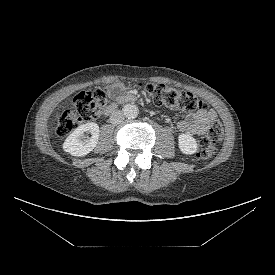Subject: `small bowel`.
<instances>
[{
  "mask_svg": "<svg viewBox=\"0 0 275 275\" xmlns=\"http://www.w3.org/2000/svg\"><path fill=\"white\" fill-rule=\"evenodd\" d=\"M111 97H118L122 93L120 84L111 85L108 89ZM217 115L214 110L203 109L195 113L188 114L184 120L177 123V128L181 132L190 135H200L206 128L215 121Z\"/></svg>",
  "mask_w": 275,
  "mask_h": 275,
  "instance_id": "obj_1",
  "label": "small bowel"
}]
</instances>
